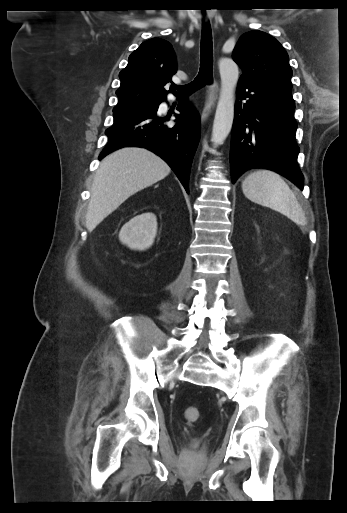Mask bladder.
<instances>
[{"instance_id": "31cf9c89", "label": "bladder", "mask_w": 347, "mask_h": 513, "mask_svg": "<svg viewBox=\"0 0 347 513\" xmlns=\"http://www.w3.org/2000/svg\"><path fill=\"white\" fill-rule=\"evenodd\" d=\"M200 444H201L200 439L196 438V439H194V440L190 443V447H191V449H196V448H198V447L200 446Z\"/></svg>"}]
</instances>
